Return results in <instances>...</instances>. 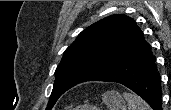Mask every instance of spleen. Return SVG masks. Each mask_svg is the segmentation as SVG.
Listing matches in <instances>:
<instances>
[{"label":"spleen","mask_w":171,"mask_h":110,"mask_svg":"<svg viewBox=\"0 0 171 110\" xmlns=\"http://www.w3.org/2000/svg\"><path fill=\"white\" fill-rule=\"evenodd\" d=\"M123 97L127 101L128 110H151V107L136 94L124 92Z\"/></svg>","instance_id":"spleen-1"}]
</instances>
